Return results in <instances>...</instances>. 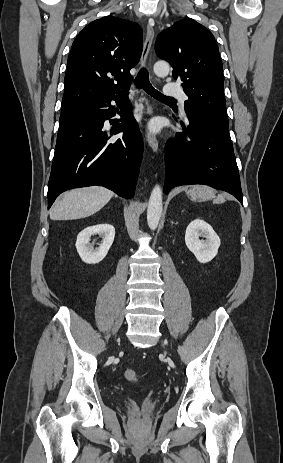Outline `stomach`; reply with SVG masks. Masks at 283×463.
<instances>
[{"mask_svg":"<svg viewBox=\"0 0 283 463\" xmlns=\"http://www.w3.org/2000/svg\"><path fill=\"white\" fill-rule=\"evenodd\" d=\"M209 187H205L203 185L199 186H194L191 187L190 189L186 190V194L195 201H204L209 198V192H210Z\"/></svg>","mask_w":283,"mask_h":463,"instance_id":"0dacf381","label":"stomach"}]
</instances>
